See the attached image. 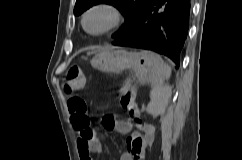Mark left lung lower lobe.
I'll use <instances>...</instances> for the list:
<instances>
[{
    "label": "left lung lower lobe",
    "instance_id": "obj_1",
    "mask_svg": "<svg viewBox=\"0 0 242 160\" xmlns=\"http://www.w3.org/2000/svg\"><path fill=\"white\" fill-rule=\"evenodd\" d=\"M189 15L190 0H148L131 31L113 44L155 51L169 57L179 67Z\"/></svg>",
    "mask_w": 242,
    "mask_h": 160
}]
</instances>
